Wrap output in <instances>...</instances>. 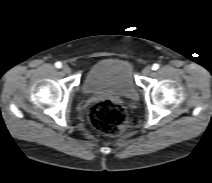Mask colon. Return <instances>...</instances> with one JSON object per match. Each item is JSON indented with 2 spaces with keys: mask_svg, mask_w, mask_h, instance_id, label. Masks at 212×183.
Listing matches in <instances>:
<instances>
[{
  "mask_svg": "<svg viewBox=\"0 0 212 183\" xmlns=\"http://www.w3.org/2000/svg\"><path fill=\"white\" fill-rule=\"evenodd\" d=\"M91 124L108 136H117L135 126V120L128 116L125 109L113 100H99L92 104L89 111Z\"/></svg>",
  "mask_w": 212,
  "mask_h": 183,
  "instance_id": "colon-1",
  "label": "colon"
}]
</instances>
